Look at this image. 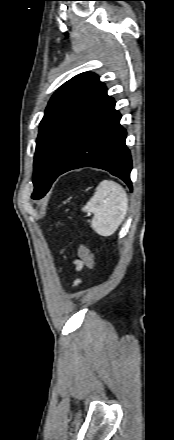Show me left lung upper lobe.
Returning <instances> with one entry per match:
<instances>
[{"label":"left lung upper lobe","mask_w":174,"mask_h":440,"mask_svg":"<svg viewBox=\"0 0 174 440\" xmlns=\"http://www.w3.org/2000/svg\"><path fill=\"white\" fill-rule=\"evenodd\" d=\"M106 97V86L91 72L76 75L54 93L36 141L33 199L48 192L87 120Z\"/></svg>","instance_id":"5c2ea615"}]
</instances>
